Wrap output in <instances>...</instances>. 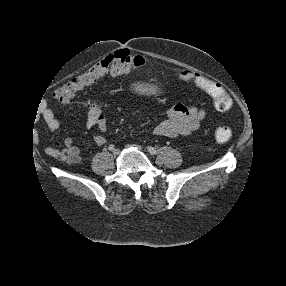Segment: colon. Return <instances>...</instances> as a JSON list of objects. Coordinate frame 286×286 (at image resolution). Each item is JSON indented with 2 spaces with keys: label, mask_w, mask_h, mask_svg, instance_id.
<instances>
[{
  "label": "colon",
  "mask_w": 286,
  "mask_h": 286,
  "mask_svg": "<svg viewBox=\"0 0 286 286\" xmlns=\"http://www.w3.org/2000/svg\"><path fill=\"white\" fill-rule=\"evenodd\" d=\"M149 70L158 75L172 74L182 81L194 83L209 93L216 110L227 112L233 106L232 98L225 92L221 84L209 80L198 73L188 70H169L156 62L150 61L141 55L132 54L127 50L116 51L80 75L65 82L54 92V98L60 103H68L77 92L90 86L98 79L107 75H122L133 71ZM214 138L219 143H227L232 139L233 131L227 125H218L213 132ZM69 153L63 151L62 159H67Z\"/></svg>",
  "instance_id": "1"
}]
</instances>
